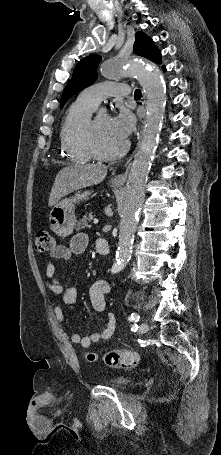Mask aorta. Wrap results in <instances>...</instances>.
I'll list each match as a JSON object with an SVG mask.
<instances>
[{"instance_id": "aorta-1", "label": "aorta", "mask_w": 221, "mask_h": 455, "mask_svg": "<svg viewBox=\"0 0 221 455\" xmlns=\"http://www.w3.org/2000/svg\"><path fill=\"white\" fill-rule=\"evenodd\" d=\"M101 74L109 79L137 76L147 98V115L140 149L131 166L126 193L120 212L119 242L113 265L114 271L122 269L131 257L134 234L145 196V185L159 144L166 107V86L161 70L151 61L141 57L118 58L105 61ZM101 110L100 113H103Z\"/></svg>"}]
</instances>
